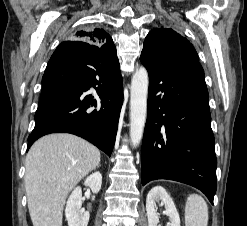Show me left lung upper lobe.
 Listing matches in <instances>:
<instances>
[{"label":"left lung upper lobe","mask_w":247,"mask_h":226,"mask_svg":"<svg viewBox=\"0 0 247 226\" xmlns=\"http://www.w3.org/2000/svg\"><path fill=\"white\" fill-rule=\"evenodd\" d=\"M141 55L157 62H199L192 44L170 28H155L145 38Z\"/></svg>","instance_id":"5c2ea615"}]
</instances>
